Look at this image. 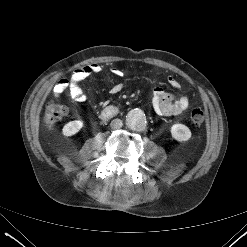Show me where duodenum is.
I'll return each mask as SVG.
<instances>
[{
  "label": "duodenum",
  "instance_id": "410a0bca",
  "mask_svg": "<svg viewBox=\"0 0 247 247\" xmlns=\"http://www.w3.org/2000/svg\"><path fill=\"white\" fill-rule=\"evenodd\" d=\"M117 111L118 110L116 107L108 106L103 110L102 115L104 118H109V117L114 116L117 113Z\"/></svg>",
  "mask_w": 247,
  "mask_h": 247
}]
</instances>
